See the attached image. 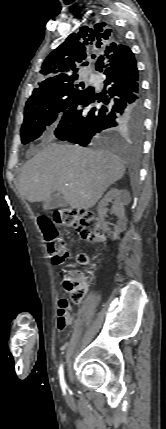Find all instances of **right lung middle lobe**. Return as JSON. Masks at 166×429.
<instances>
[{"mask_svg":"<svg viewBox=\"0 0 166 429\" xmlns=\"http://www.w3.org/2000/svg\"><path fill=\"white\" fill-rule=\"evenodd\" d=\"M78 75L68 77L44 90L32 93L25 105L21 127L23 144L42 135L47 126L57 121L85 87L77 84Z\"/></svg>","mask_w":166,"mask_h":429,"instance_id":"1","label":"right lung middle lobe"}]
</instances>
